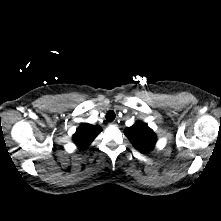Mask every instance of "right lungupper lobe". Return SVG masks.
Instances as JSON below:
<instances>
[{
    "instance_id": "right-lung-upper-lobe-1",
    "label": "right lung upper lobe",
    "mask_w": 221,
    "mask_h": 221,
    "mask_svg": "<svg viewBox=\"0 0 221 221\" xmlns=\"http://www.w3.org/2000/svg\"><path fill=\"white\" fill-rule=\"evenodd\" d=\"M100 132V126L83 123L73 135V141L79 149L85 150Z\"/></svg>"
}]
</instances>
